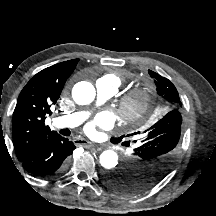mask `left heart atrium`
<instances>
[{"label": "left heart atrium", "instance_id": "39dd6f15", "mask_svg": "<svg viewBox=\"0 0 216 216\" xmlns=\"http://www.w3.org/2000/svg\"><path fill=\"white\" fill-rule=\"evenodd\" d=\"M113 124V118L109 113L103 112L96 116V118L90 122L86 126V132L89 134H94L96 131V128H104L108 129L112 126Z\"/></svg>", "mask_w": 216, "mask_h": 216}]
</instances>
